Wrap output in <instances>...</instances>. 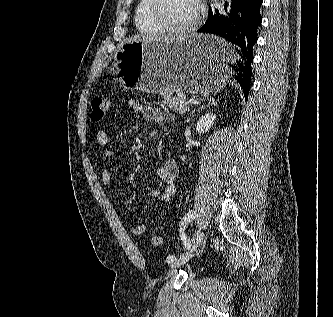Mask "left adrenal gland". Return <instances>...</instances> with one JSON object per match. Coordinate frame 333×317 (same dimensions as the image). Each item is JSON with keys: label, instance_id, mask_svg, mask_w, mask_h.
I'll use <instances>...</instances> for the list:
<instances>
[{"label": "left adrenal gland", "instance_id": "left-adrenal-gland-1", "mask_svg": "<svg viewBox=\"0 0 333 317\" xmlns=\"http://www.w3.org/2000/svg\"><path fill=\"white\" fill-rule=\"evenodd\" d=\"M218 104V101H216L215 99H209L206 103V105L202 106L201 108H197V109H194L190 112V115L191 114H194L197 110H200V109H203V108H206V107H210L212 105L216 106Z\"/></svg>", "mask_w": 333, "mask_h": 317}]
</instances>
